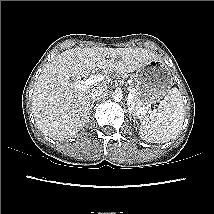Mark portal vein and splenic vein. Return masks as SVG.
I'll list each match as a JSON object with an SVG mask.
<instances>
[{"label": "portal vein and splenic vein", "instance_id": "18ae733b", "mask_svg": "<svg viewBox=\"0 0 214 214\" xmlns=\"http://www.w3.org/2000/svg\"><path fill=\"white\" fill-rule=\"evenodd\" d=\"M103 80H104V76L102 74H94V75H91L87 79L76 81V86L79 89H86L87 87H89V86H91L97 82H101ZM133 100H134L133 95L131 93H129L128 97H127V102L129 104H131V103H133ZM147 112H150L151 115L155 114L153 111L149 110L148 106L141 108L137 114L138 115H145Z\"/></svg>", "mask_w": 214, "mask_h": 214}]
</instances>
